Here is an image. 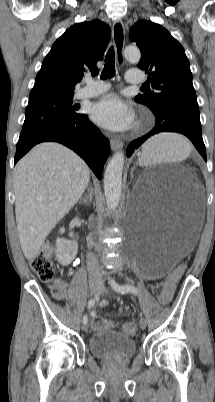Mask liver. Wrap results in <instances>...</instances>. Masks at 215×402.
Segmentation results:
<instances>
[{"label": "liver", "instance_id": "6515ba94", "mask_svg": "<svg viewBox=\"0 0 215 402\" xmlns=\"http://www.w3.org/2000/svg\"><path fill=\"white\" fill-rule=\"evenodd\" d=\"M89 179L87 164L59 143H40L16 164L15 215L25 258L36 257L50 231L80 199Z\"/></svg>", "mask_w": 215, "mask_h": 402}]
</instances>
